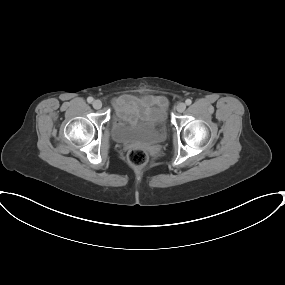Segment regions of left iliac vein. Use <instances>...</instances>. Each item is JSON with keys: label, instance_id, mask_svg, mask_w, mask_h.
Wrapping results in <instances>:
<instances>
[{"label": "left iliac vein", "instance_id": "4c4485c4", "mask_svg": "<svg viewBox=\"0 0 285 285\" xmlns=\"http://www.w3.org/2000/svg\"><path fill=\"white\" fill-rule=\"evenodd\" d=\"M176 109L178 112L182 113L186 109V105L183 102L177 104Z\"/></svg>", "mask_w": 285, "mask_h": 285}]
</instances>
